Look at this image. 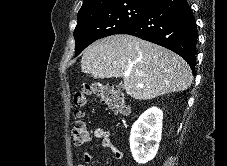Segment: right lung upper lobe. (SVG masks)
<instances>
[{
    "mask_svg": "<svg viewBox=\"0 0 227 166\" xmlns=\"http://www.w3.org/2000/svg\"><path fill=\"white\" fill-rule=\"evenodd\" d=\"M158 0H84L78 14L95 11L112 5L127 4V3H141L153 6Z\"/></svg>",
    "mask_w": 227,
    "mask_h": 166,
    "instance_id": "cb5924a9",
    "label": "right lung upper lobe"
}]
</instances>
